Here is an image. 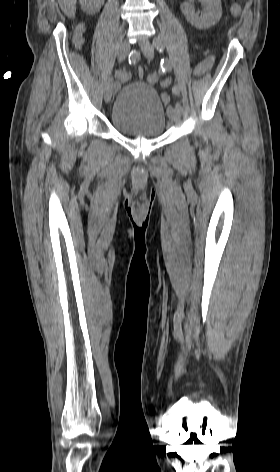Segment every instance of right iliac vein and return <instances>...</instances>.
Returning <instances> with one entry per match:
<instances>
[{
  "mask_svg": "<svg viewBox=\"0 0 280 472\" xmlns=\"http://www.w3.org/2000/svg\"><path fill=\"white\" fill-rule=\"evenodd\" d=\"M130 52V44L127 41H123L120 44L119 50H118V59L119 61H123L129 54ZM113 78H109L104 87V99L105 102L108 103L111 100L112 94H113Z\"/></svg>",
  "mask_w": 280,
  "mask_h": 472,
  "instance_id": "63e3f726",
  "label": "right iliac vein"
}]
</instances>
